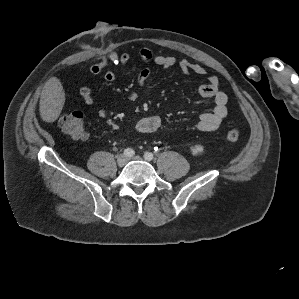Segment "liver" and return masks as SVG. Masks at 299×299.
Returning <instances> with one entry per match:
<instances>
[{
	"instance_id": "6515ba94",
	"label": "liver",
	"mask_w": 299,
	"mask_h": 299,
	"mask_svg": "<svg viewBox=\"0 0 299 299\" xmlns=\"http://www.w3.org/2000/svg\"><path fill=\"white\" fill-rule=\"evenodd\" d=\"M65 103V91L57 77L48 79L43 87L39 112L43 121L52 123L59 117Z\"/></svg>"
}]
</instances>
